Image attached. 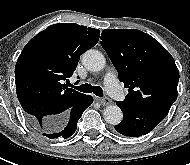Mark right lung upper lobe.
<instances>
[{
    "mask_svg": "<svg viewBox=\"0 0 190 165\" xmlns=\"http://www.w3.org/2000/svg\"><path fill=\"white\" fill-rule=\"evenodd\" d=\"M100 30L59 23L33 37L15 66L18 100L38 128L61 121L86 95L63 84L77 67L80 55L92 48Z\"/></svg>",
    "mask_w": 190,
    "mask_h": 165,
    "instance_id": "1",
    "label": "right lung upper lobe"
}]
</instances>
